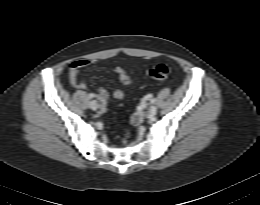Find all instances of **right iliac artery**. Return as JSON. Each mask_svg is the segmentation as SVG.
<instances>
[{"label": "right iliac artery", "instance_id": "obj_1", "mask_svg": "<svg viewBox=\"0 0 260 205\" xmlns=\"http://www.w3.org/2000/svg\"><path fill=\"white\" fill-rule=\"evenodd\" d=\"M90 97L93 98V97H95V95H94L93 93H91V94H90Z\"/></svg>", "mask_w": 260, "mask_h": 205}]
</instances>
